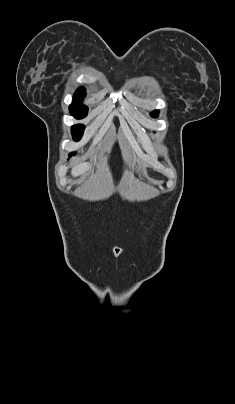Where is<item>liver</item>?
I'll return each mask as SVG.
<instances>
[{
  "label": "liver",
  "mask_w": 235,
  "mask_h": 404,
  "mask_svg": "<svg viewBox=\"0 0 235 404\" xmlns=\"http://www.w3.org/2000/svg\"><path fill=\"white\" fill-rule=\"evenodd\" d=\"M91 166L92 165L90 163L83 162V163H81L79 165L74 166L72 168V170H71V174L74 177H77V176H80V175L85 176L87 174V172L91 169Z\"/></svg>",
  "instance_id": "6515ba94"
}]
</instances>
